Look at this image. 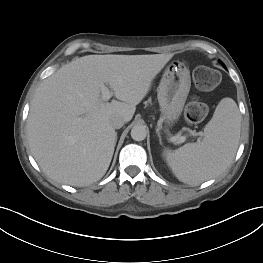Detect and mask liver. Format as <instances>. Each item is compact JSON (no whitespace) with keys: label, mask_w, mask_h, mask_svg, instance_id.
Wrapping results in <instances>:
<instances>
[{"label":"liver","mask_w":263,"mask_h":263,"mask_svg":"<svg viewBox=\"0 0 263 263\" xmlns=\"http://www.w3.org/2000/svg\"><path fill=\"white\" fill-rule=\"evenodd\" d=\"M173 55H87L43 80L27 121L31 152L42 171L71 186L100 180L116 144L112 118H133L136 105ZM105 84L118 100L102 99Z\"/></svg>","instance_id":"1"}]
</instances>
